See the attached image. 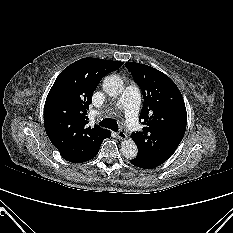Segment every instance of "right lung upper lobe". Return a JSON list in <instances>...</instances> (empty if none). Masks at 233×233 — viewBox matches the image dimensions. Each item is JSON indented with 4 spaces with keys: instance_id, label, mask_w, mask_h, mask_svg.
I'll return each instance as SVG.
<instances>
[{
    "instance_id": "obj_1",
    "label": "right lung upper lobe",
    "mask_w": 233,
    "mask_h": 233,
    "mask_svg": "<svg viewBox=\"0 0 233 233\" xmlns=\"http://www.w3.org/2000/svg\"><path fill=\"white\" fill-rule=\"evenodd\" d=\"M123 62L83 58L56 78L44 106L45 131L61 156L72 163L87 161L108 137L109 131L87 126V109L101 79Z\"/></svg>"
}]
</instances>
